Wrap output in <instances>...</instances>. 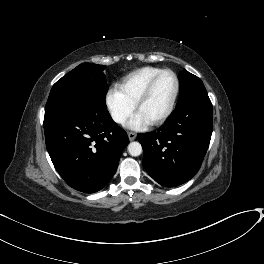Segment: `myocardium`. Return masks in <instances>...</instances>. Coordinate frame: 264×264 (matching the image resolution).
<instances>
[{"label":"myocardium","mask_w":264,"mask_h":264,"mask_svg":"<svg viewBox=\"0 0 264 264\" xmlns=\"http://www.w3.org/2000/svg\"><path fill=\"white\" fill-rule=\"evenodd\" d=\"M169 73L174 77L175 80V89L171 98V101L167 107V109L165 110V112L160 115L158 118H156L153 121H150L149 124L150 125H160L163 122H165L170 115L172 114L174 107L176 105V101L179 95V90H180V82H179V78L177 76V74L170 70V69H164L161 70L159 73H157L154 77L151 78V80L148 82V84L146 85L145 89L143 90V92L141 93V95L139 96L138 100L135 103V109L136 111H138V109L140 108V106L149 98L156 82L158 81V79L163 75Z\"/></svg>","instance_id":"f54148a6"}]
</instances>
